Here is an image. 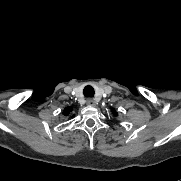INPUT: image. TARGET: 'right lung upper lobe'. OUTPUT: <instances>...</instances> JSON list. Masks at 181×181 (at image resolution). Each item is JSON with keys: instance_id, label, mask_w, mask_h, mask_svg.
I'll use <instances>...</instances> for the list:
<instances>
[{"instance_id": "obj_1", "label": "right lung upper lobe", "mask_w": 181, "mask_h": 181, "mask_svg": "<svg viewBox=\"0 0 181 181\" xmlns=\"http://www.w3.org/2000/svg\"><path fill=\"white\" fill-rule=\"evenodd\" d=\"M72 107L71 106H68L66 107L64 110H63V115L64 116H68L71 112H72Z\"/></svg>"}]
</instances>
